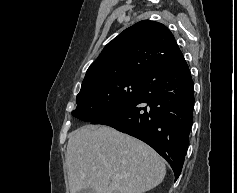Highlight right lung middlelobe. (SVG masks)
Listing matches in <instances>:
<instances>
[{
  "label": "right lung middle lobe",
  "instance_id": "right-lung-middle-lobe-1",
  "mask_svg": "<svg viewBox=\"0 0 237 193\" xmlns=\"http://www.w3.org/2000/svg\"><path fill=\"white\" fill-rule=\"evenodd\" d=\"M143 79L144 76H123L81 87L72 115L90 122L114 112L138 94Z\"/></svg>",
  "mask_w": 237,
  "mask_h": 193
}]
</instances>
